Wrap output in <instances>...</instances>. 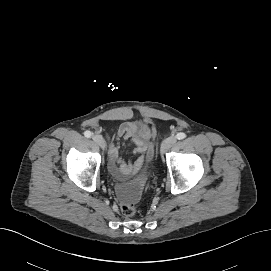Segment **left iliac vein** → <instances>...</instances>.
Returning a JSON list of instances; mask_svg holds the SVG:
<instances>
[{"mask_svg":"<svg viewBox=\"0 0 271 271\" xmlns=\"http://www.w3.org/2000/svg\"><path fill=\"white\" fill-rule=\"evenodd\" d=\"M176 142H177V138L175 136H170L167 139H165L161 145V150H160L161 154L168 151Z\"/></svg>","mask_w":271,"mask_h":271,"instance_id":"left-iliac-vein-1","label":"left iliac vein"}]
</instances>
